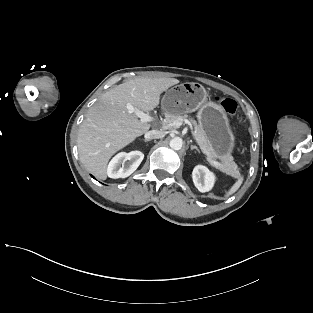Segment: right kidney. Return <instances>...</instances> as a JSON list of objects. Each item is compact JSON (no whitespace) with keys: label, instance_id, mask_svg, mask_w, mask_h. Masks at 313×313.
I'll list each match as a JSON object with an SVG mask.
<instances>
[{"label":"right kidney","instance_id":"obj_1","mask_svg":"<svg viewBox=\"0 0 313 313\" xmlns=\"http://www.w3.org/2000/svg\"><path fill=\"white\" fill-rule=\"evenodd\" d=\"M143 158L144 154L140 151L118 153L109 162L107 167V175L114 179L126 178L138 168Z\"/></svg>","mask_w":313,"mask_h":313}]
</instances>
